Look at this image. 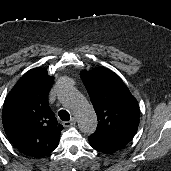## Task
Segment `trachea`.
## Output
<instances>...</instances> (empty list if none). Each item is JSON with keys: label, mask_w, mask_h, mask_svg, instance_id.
I'll use <instances>...</instances> for the list:
<instances>
[{"label": "trachea", "mask_w": 171, "mask_h": 171, "mask_svg": "<svg viewBox=\"0 0 171 171\" xmlns=\"http://www.w3.org/2000/svg\"><path fill=\"white\" fill-rule=\"evenodd\" d=\"M58 115L62 121H69L70 120V115L66 110H60Z\"/></svg>", "instance_id": "trachea-1"}]
</instances>
